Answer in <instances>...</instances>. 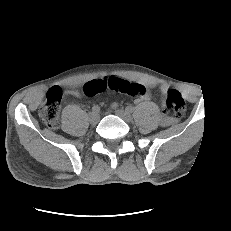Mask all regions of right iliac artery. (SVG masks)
<instances>
[{
	"mask_svg": "<svg viewBox=\"0 0 231 231\" xmlns=\"http://www.w3.org/2000/svg\"><path fill=\"white\" fill-rule=\"evenodd\" d=\"M92 112H93V113H99V112H100V107H99L98 105H94V106L92 107Z\"/></svg>",
	"mask_w": 231,
	"mask_h": 231,
	"instance_id": "right-iliac-artery-1",
	"label": "right iliac artery"
}]
</instances>
